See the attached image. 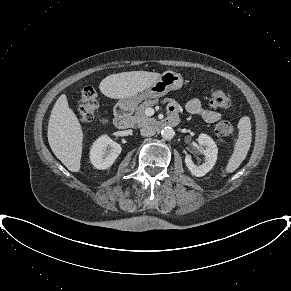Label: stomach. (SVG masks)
Returning <instances> with one entry per match:
<instances>
[{
    "instance_id": "1",
    "label": "stomach",
    "mask_w": 291,
    "mask_h": 291,
    "mask_svg": "<svg viewBox=\"0 0 291 291\" xmlns=\"http://www.w3.org/2000/svg\"><path fill=\"white\" fill-rule=\"evenodd\" d=\"M183 85L181 74L166 71L161 74L160 78L148 89L130 97L122 98L118 102V106L123 109H134L142 100L150 98H159L166 95L172 90H178Z\"/></svg>"
}]
</instances>
